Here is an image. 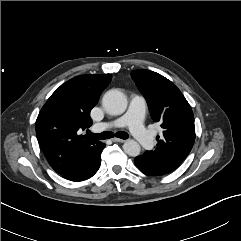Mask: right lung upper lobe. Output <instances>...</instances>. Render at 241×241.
<instances>
[{
	"instance_id": "right-lung-upper-lobe-1",
	"label": "right lung upper lobe",
	"mask_w": 241,
	"mask_h": 241,
	"mask_svg": "<svg viewBox=\"0 0 241 241\" xmlns=\"http://www.w3.org/2000/svg\"><path fill=\"white\" fill-rule=\"evenodd\" d=\"M111 78V74L74 77L62 84L42 107L36 120V135L57 173L102 145L79 132L91 126L90 111Z\"/></svg>"
}]
</instances>
